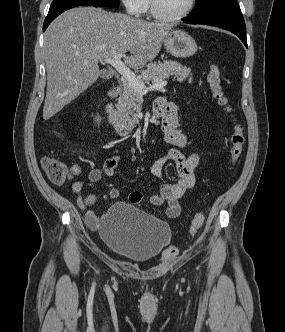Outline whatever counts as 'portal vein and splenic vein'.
<instances>
[{
    "mask_svg": "<svg viewBox=\"0 0 285 332\" xmlns=\"http://www.w3.org/2000/svg\"><path fill=\"white\" fill-rule=\"evenodd\" d=\"M122 56V53H119L116 54L113 58L105 59L104 61L112 65L138 93L146 94L150 90H162L167 85L166 80H157L153 85L146 87L145 84L141 82L136 77V75L121 61Z\"/></svg>",
    "mask_w": 285,
    "mask_h": 332,
    "instance_id": "obj_1",
    "label": "portal vein and splenic vein"
}]
</instances>
